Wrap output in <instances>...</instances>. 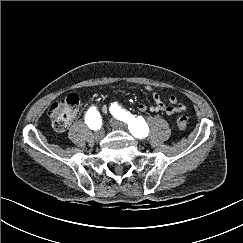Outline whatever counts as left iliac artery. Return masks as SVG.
I'll return each mask as SVG.
<instances>
[{
	"mask_svg": "<svg viewBox=\"0 0 243 243\" xmlns=\"http://www.w3.org/2000/svg\"><path fill=\"white\" fill-rule=\"evenodd\" d=\"M111 114L129 125V130L137 138H143L148 134V126L142 117H135L130 112H127L117 103H113L110 107Z\"/></svg>",
	"mask_w": 243,
	"mask_h": 243,
	"instance_id": "obj_1",
	"label": "left iliac artery"
}]
</instances>
